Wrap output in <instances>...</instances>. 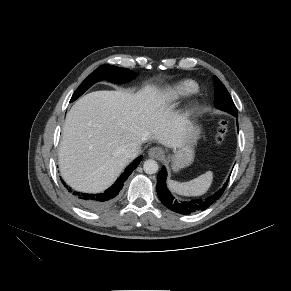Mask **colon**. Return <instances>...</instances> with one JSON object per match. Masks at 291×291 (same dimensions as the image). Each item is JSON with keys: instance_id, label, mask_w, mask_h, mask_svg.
Wrapping results in <instances>:
<instances>
[{"instance_id": "5ec220e1", "label": "colon", "mask_w": 291, "mask_h": 291, "mask_svg": "<svg viewBox=\"0 0 291 291\" xmlns=\"http://www.w3.org/2000/svg\"><path fill=\"white\" fill-rule=\"evenodd\" d=\"M229 132H230L229 123L227 121H225V120H222L219 123V126L217 128V133H216V136H215L216 143L218 145L224 144L228 139Z\"/></svg>"}]
</instances>
